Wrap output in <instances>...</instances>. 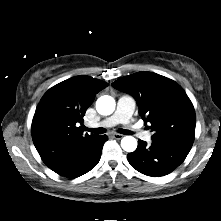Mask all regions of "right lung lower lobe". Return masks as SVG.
I'll use <instances>...</instances> for the list:
<instances>
[{
    "label": "right lung lower lobe",
    "instance_id": "1",
    "mask_svg": "<svg viewBox=\"0 0 221 221\" xmlns=\"http://www.w3.org/2000/svg\"><path fill=\"white\" fill-rule=\"evenodd\" d=\"M107 140L108 137L106 135L98 136L85 152L78 156L71 164L56 173L68 178H76L87 173L99 162L103 145Z\"/></svg>",
    "mask_w": 221,
    "mask_h": 221
}]
</instances>
